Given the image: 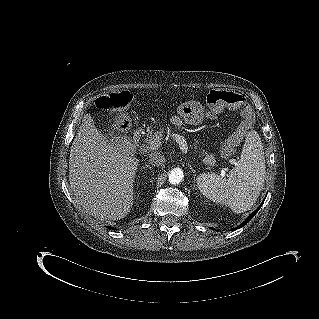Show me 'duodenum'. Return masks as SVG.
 <instances>
[{"label":"duodenum","mask_w":319,"mask_h":319,"mask_svg":"<svg viewBox=\"0 0 319 319\" xmlns=\"http://www.w3.org/2000/svg\"><path fill=\"white\" fill-rule=\"evenodd\" d=\"M142 138V129L141 128H137L135 129V131L133 132L132 135V139H133V143L137 146Z\"/></svg>","instance_id":"obj_1"}]
</instances>
